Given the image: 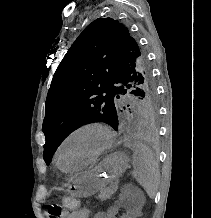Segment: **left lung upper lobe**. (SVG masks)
<instances>
[{
	"mask_svg": "<svg viewBox=\"0 0 211 218\" xmlns=\"http://www.w3.org/2000/svg\"><path fill=\"white\" fill-rule=\"evenodd\" d=\"M124 95L138 100L129 105ZM131 109L142 123L156 127L158 103L147 54L123 24L98 18L78 36L53 76L43 121L46 164L75 129L105 122L117 130Z\"/></svg>",
	"mask_w": 211,
	"mask_h": 218,
	"instance_id": "obj_1",
	"label": "left lung upper lobe"
}]
</instances>
